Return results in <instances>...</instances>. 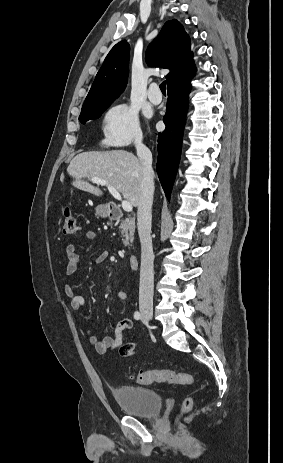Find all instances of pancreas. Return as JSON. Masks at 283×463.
I'll use <instances>...</instances> for the list:
<instances>
[{
  "label": "pancreas",
  "mask_w": 283,
  "mask_h": 463,
  "mask_svg": "<svg viewBox=\"0 0 283 463\" xmlns=\"http://www.w3.org/2000/svg\"><path fill=\"white\" fill-rule=\"evenodd\" d=\"M120 234L123 237L122 241L125 246H128L134 239L135 219L126 218L122 220L119 226Z\"/></svg>",
  "instance_id": "obj_1"
}]
</instances>
